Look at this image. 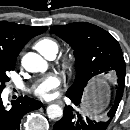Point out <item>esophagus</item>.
Masks as SVG:
<instances>
[{
  "label": "esophagus",
  "mask_w": 130,
  "mask_h": 130,
  "mask_svg": "<svg viewBox=\"0 0 130 130\" xmlns=\"http://www.w3.org/2000/svg\"><path fill=\"white\" fill-rule=\"evenodd\" d=\"M51 103H56V104H59V105H63V102L61 100H55ZM47 104H50V103H47Z\"/></svg>",
  "instance_id": "34e87169"
}]
</instances>
